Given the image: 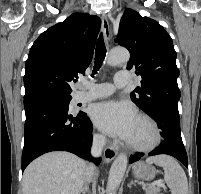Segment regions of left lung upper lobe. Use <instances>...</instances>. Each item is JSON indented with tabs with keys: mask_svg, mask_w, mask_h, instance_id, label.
Wrapping results in <instances>:
<instances>
[{
	"mask_svg": "<svg viewBox=\"0 0 201 194\" xmlns=\"http://www.w3.org/2000/svg\"><path fill=\"white\" fill-rule=\"evenodd\" d=\"M116 42L130 52L127 69L141 76V86L131 94L132 101L147 114L160 107L178 109L179 70L172 39L155 20L126 9L121 17Z\"/></svg>",
	"mask_w": 201,
	"mask_h": 194,
	"instance_id": "obj_1",
	"label": "left lung upper lobe"
}]
</instances>
